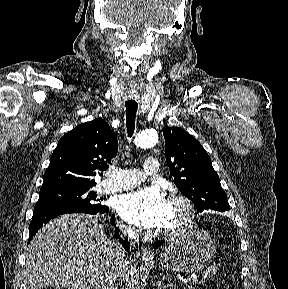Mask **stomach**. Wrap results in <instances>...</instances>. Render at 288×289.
Wrapping results in <instances>:
<instances>
[{
  "instance_id": "0dacf381",
  "label": "stomach",
  "mask_w": 288,
  "mask_h": 289,
  "mask_svg": "<svg viewBox=\"0 0 288 289\" xmlns=\"http://www.w3.org/2000/svg\"><path fill=\"white\" fill-rule=\"evenodd\" d=\"M215 245L211 236L202 229L189 230L175 237L159 257V266L165 270L193 272L203 269L214 257ZM145 263L153 266L154 260Z\"/></svg>"
}]
</instances>
